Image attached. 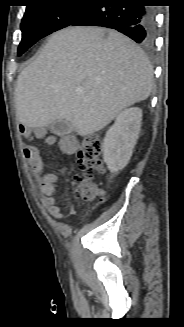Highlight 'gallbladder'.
<instances>
[{"mask_svg": "<svg viewBox=\"0 0 184 327\" xmlns=\"http://www.w3.org/2000/svg\"><path fill=\"white\" fill-rule=\"evenodd\" d=\"M50 129L54 134L63 136L69 134L73 130V126L69 121L62 119L53 122Z\"/></svg>", "mask_w": 184, "mask_h": 327, "instance_id": "bac80fb5", "label": "gallbladder"}]
</instances>
